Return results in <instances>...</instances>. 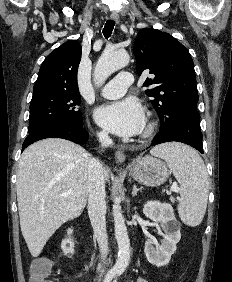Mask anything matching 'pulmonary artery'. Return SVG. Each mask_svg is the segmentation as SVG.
Returning a JSON list of instances; mask_svg holds the SVG:
<instances>
[{"mask_svg": "<svg viewBox=\"0 0 232 282\" xmlns=\"http://www.w3.org/2000/svg\"><path fill=\"white\" fill-rule=\"evenodd\" d=\"M133 81V75L130 72L122 71L102 88L101 95L107 99L120 98Z\"/></svg>", "mask_w": 232, "mask_h": 282, "instance_id": "e3ab8cb5", "label": "pulmonary artery"}]
</instances>
